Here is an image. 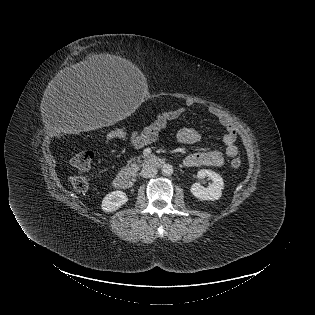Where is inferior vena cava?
Returning a JSON list of instances; mask_svg holds the SVG:
<instances>
[{"instance_id": "obj_1", "label": "inferior vena cava", "mask_w": 315, "mask_h": 315, "mask_svg": "<svg viewBox=\"0 0 315 315\" xmlns=\"http://www.w3.org/2000/svg\"><path fill=\"white\" fill-rule=\"evenodd\" d=\"M157 174V168L154 165L146 164L141 170V176L144 178H151Z\"/></svg>"}]
</instances>
